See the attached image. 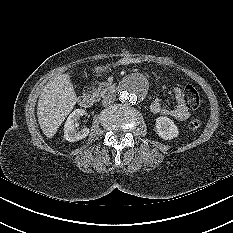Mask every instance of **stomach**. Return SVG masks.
<instances>
[{"instance_id":"0dacf381","label":"stomach","mask_w":233,"mask_h":233,"mask_svg":"<svg viewBox=\"0 0 233 233\" xmlns=\"http://www.w3.org/2000/svg\"><path fill=\"white\" fill-rule=\"evenodd\" d=\"M103 70H104L103 67H98V68H96V71H97V72H102Z\"/></svg>"}]
</instances>
